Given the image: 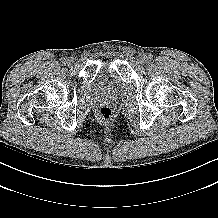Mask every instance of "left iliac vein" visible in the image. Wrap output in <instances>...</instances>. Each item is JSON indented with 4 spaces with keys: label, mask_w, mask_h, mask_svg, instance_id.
<instances>
[{
    "label": "left iliac vein",
    "mask_w": 218,
    "mask_h": 218,
    "mask_svg": "<svg viewBox=\"0 0 218 218\" xmlns=\"http://www.w3.org/2000/svg\"><path fill=\"white\" fill-rule=\"evenodd\" d=\"M146 61H147V55L141 54V55L139 56V62H140L141 64H144Z\"/></svg>",
    "instance_id": "4c4485c4"
}]
</instances>
